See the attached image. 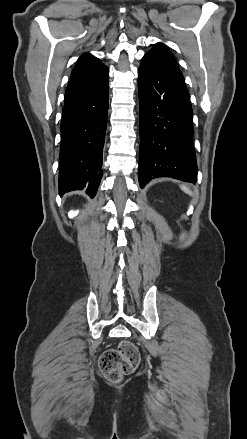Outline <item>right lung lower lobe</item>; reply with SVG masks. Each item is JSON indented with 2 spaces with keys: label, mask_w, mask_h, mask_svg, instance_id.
Masks as SVG:
<instances>
[{
  "label": "right lung lower lobe",
  "mask_w": 247,
  "mask_h": 439,
  "mask_svg": "<svg viewBox=\"0 0 247 439\" xmlns=\"http://www.w3.org/2000/svg\"><path fill=\"white\" fill-rule=\"evenodd\" d=\"M109 85L65 97L62 110L59 194L87 186L96 194L108 116Z\"/></svg>",
  "instance_id": "98d812e1"
}]
</instances>
